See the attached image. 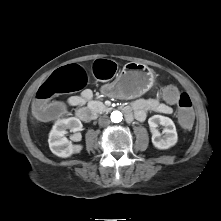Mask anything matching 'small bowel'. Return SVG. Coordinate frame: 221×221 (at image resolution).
<instances>
[{
  "label": "small bowel",
  "mask_w": 221,
  "mask_h": 221,
  "mask_svg": "<svg viewBox=\"0 0 221 221\" xmlns=\"http://www.w3.org/2000/svg\"><path fill=\"white\" fill-rule=\"evenodd\" d=\"M93 93L90 89L83 90L79 95L71 96L68 99V104L73 107H80L90 101ZM134 116L138 121H144L149 112H157L161 114H171L172 106H168L156 98L137 99L131 104Z\"/></svg>",
  "instance_id": "c3829d8e"
}]
</instances>
